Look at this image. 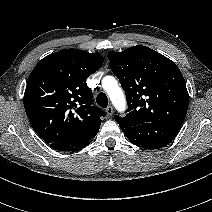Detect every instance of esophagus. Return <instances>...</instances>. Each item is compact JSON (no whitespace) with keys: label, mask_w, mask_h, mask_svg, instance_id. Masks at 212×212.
Instances as JSON below:
<instances>
[{"label":"esophagus","mask_w":212,"mask_h":212,"mask_svg":"<svg viewBox=\"0 0 212 212\" xmlns=\"http://www.w3.org/2000/svg\"><path fill=\"white\" fill-rule=\"evenodd\" d=\"M106 113L108 116H111L113 114V107L112 106H108L106 108Z\"/></svg>","instance_id":"1"}]
</instances>
